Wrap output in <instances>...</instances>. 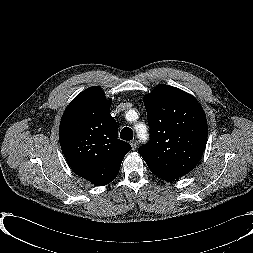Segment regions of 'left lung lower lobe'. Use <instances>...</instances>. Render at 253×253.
Instances as JSON below:
<instances>
[{
  "label": "left lung lower lobe",
  "instance_id": "0a47b994",
  "mask_svg": "<svg viewBox=\"0 0 253 253\" xmlns=\"http://www.w3.org/2000/svg\"><path fill=\"white\" fill-rule=\"evenodd\" d=\"M163 180H166V181H171V180H173V179H163Z\"/></svg>",
  "mask_w": 253,
  "mask_h": 253
}]
</instances>
